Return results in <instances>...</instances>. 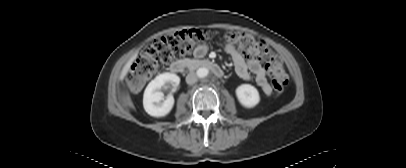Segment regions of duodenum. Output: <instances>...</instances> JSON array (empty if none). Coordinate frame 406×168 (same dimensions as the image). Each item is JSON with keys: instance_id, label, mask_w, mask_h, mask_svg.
Here are the masks:
<instances>
[{"instance_id": "duodenum-1", "label": "duodenum", "mask_w": 406, "mask_h": 168, "mask_svg": "<svg viewBox=\"0 0 406 168\" xmlns=\"http://www.w3.org/2000/svg\"><path fill=\"white\" fill-rule=\"evenodd\" d=\"M198 68L209 69L219 78L224 76L222 68L218 64L209 60H179L173 62L169 67L172 73H188Z\"/></svg>"}]
</instances>
